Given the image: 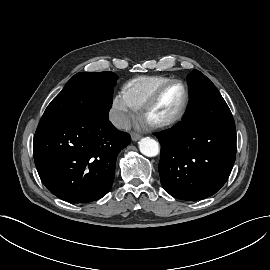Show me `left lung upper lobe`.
Returning a JSON list of instances; mask_svg holds the SVG:
<instances>
[{"mask_svg": "<svg viewBox=\"0 0 270 270\" xmlns=\"http://www.w3.org/2000/svg\"><path fill=\"white\" fill-rule=\"evenodd\" d=\"M189 104L195 116L203 122L232 120L231 111L214 84L200 71L193 70L187 76Z\"/></svg>", "mask_w": 270, "mask_h": 270, "instance_id": "left-lung-upper-lobe-1", "label": "left lung upper lobe"}]
</instances>
